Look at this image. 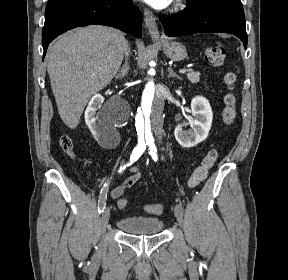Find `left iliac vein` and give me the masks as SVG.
<instances>
[{
  "mask_svg": "<svg viewBox=\"0 0 288 280\" xmlns=\"http://www.w3.org/2000/svg\"><path fill=\"white\" fill-rule=\"evenodd\" d=\"M174 213H175V217H176L179 225L183 226V224H184V217H183L184 216V210H183V208L179 207V203L176 204Z\"/></svg>",
  "mask_w": 288,
  "mask_h": 280,
  "instance_id": "obj_1",
  "label": "left iliac vein"
}]
</instances>
